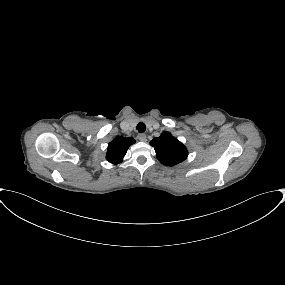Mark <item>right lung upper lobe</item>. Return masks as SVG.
Masks as SVG:
<instances>
[{"label":"right lung upper lobe","mask_w":285,"mask_h":285,"mask_svg":"<svg viewBox=\"0 0 285 285\" xmlns=\"http://www.w3.org/2000/svg\"><path fill=\"white\" fill-rule=\"evenodd\" d=\"M134 143L135 140L133 138H126L123 136L116 137L108 145L106 156L107 160L114 164L120 163L123 160L129 146Z\"/></svg>","instance_id":"right-lung-upper-lobe-1"}]
</instances>
